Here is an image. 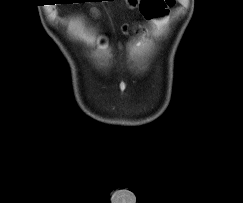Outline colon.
Wrapping results in <instances>:
<instances>
[{
	"label": "colon",
	"instance_id": "5ec220e1",
	"mask_svg": "<svg viewBox=\"0 0 243 203\" xmlns=\"http://www.w3.org/2000/svg\"><path fill=\"white\" fill-rule=\"evenodd\" d=\"M175 2L176 0H141L140 11L146 19L160 21Z\"/></svg>",
	"mask_w": 243,
	"mask_h": 203
}]
</instances>
